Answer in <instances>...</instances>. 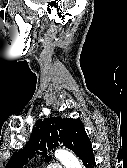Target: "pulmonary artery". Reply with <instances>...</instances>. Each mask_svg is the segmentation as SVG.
<instances>
[{
  "label": "pulmonary artery",
  "instance_id": "1",
  "mask_svg": "<svg viewBox=\"0 0 127 168\" xmlns=\"http://www.w3.org/2000/svg\"><path fill=\"white\" fill-rule=\"evenodd\" d=\"M49 168H62L60 164H51Z\"/></svg>",
  "mask_w": 127,
  "mask_h": 168
}]
</instances>
